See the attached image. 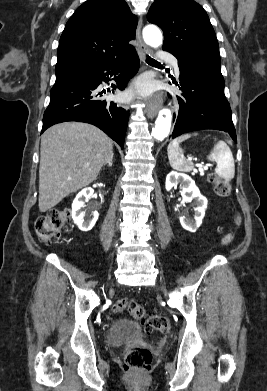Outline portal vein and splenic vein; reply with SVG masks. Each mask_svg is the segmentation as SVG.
<instances>
[{
  "label": "portal vein and splenic vein",
  "mask_w": 267,
  "mask_h": 391,
  "mask_svg": "<svg viewBox=\"0 0 267 391\" xmlns=\"http://www.w3.org/2000/svg\"><path fill=\"white\" fill-rule=\"evenodd\" d=\"M190 160H192V159L190 158ZM194 160H197V159H194ZM206 168H208V166H205V169H206Z\"/></svg>",
  "instance_id": "portal-vein-and-splenic-vein-1"
}]
</instances>
